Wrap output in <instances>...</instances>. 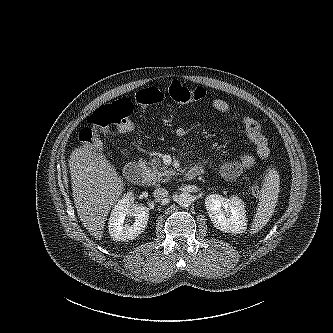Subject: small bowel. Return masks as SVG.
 Segmentation results:
<instances>
[{
    "mask_svg": "<svg viewBox=\"0 0 333 333\" xmlns=\"http://www.w3.org/2000/svg\"><path fill=\"white\" fill-rule=\"evenodd\" d=\"M211 106L217 112L227 114L234 120L240 121L243 124L246 136L256 150V156L246 153L242 154L237 160H226L221 162L219 164V170L224 178L228 180L236 179L243 172L252 169L256 165L257 160L263 161L269 157L270 149L268 139L266 138L261 125L255 119L234 111L231 105L221 98L213 99L211 101ZM186 132L187 130L184 126H178L175 130L178 137H183ZM200 168L202 169V167Z\"/></svg>",
    "mask_w": 333,
    "mask_h": 333,
    "instance_id": "small-bowel-1",
    "label": "small bowel"
}]
</instances>
